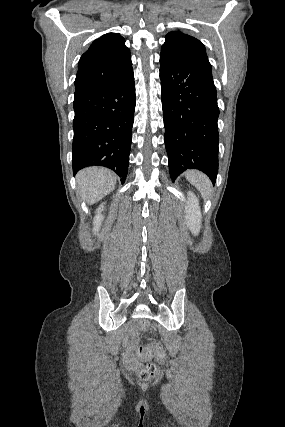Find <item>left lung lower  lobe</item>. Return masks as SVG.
Instances as JSON below:
<instances>
[{
  "label": "left lung lower lobe",
  "mask_w": 285,
  "mask_h": 427,
  "mask_svg": "<svg viewBox=\"0 0 285 427\" xmlns=\"http://www.w3.org/2000/svg\"><path fill=\"white\" fill-rule=\"evenodd\" d=\"M160 79L170 177L175 180L187 169H198L214 183L219 108L211 69L160 57Z\"/></svg>",
  "instance_id": "1"
}]
</instances>
